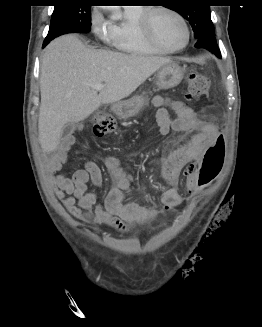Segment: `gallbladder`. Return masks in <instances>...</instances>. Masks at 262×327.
<instances>
[{"label": "gallbladder", "mask_w": 262, "mask_h": 327, "mask_svg": "<svg viewBox=\"0 0 262 327\" xmlns=\"http://www.w3.org/2000/svg\"><path fill=\"white\" fill-rule=\"evenodd\" d=\"M75 129H76V125L74 123H69L63 128L62 133L65 137L71 136L75 131Z\"/></svg>", "instance_id": "bac80fb5"}]
</instances>
